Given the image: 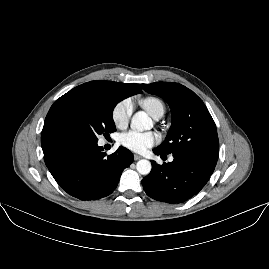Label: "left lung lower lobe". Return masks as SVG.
I'll return each mask as SVG.
<instances>
[{"label":"left lung lower lobe","mask_w":269,"mask_h":269,"mask_svg":"<svg viewBox=\"0 0 269 269\" xmlns=\"http://www.w3.org/2000/svg\"><path fill=\"white\" fill-rule=\"evenodd\" d=\"M153 152L157 155L164 153L158 148ZM173 157L172 162L163 165L152 161V170L143 178L142 185L149 197L176 204L196 195L209 180L216 164L177 154Z\"/></svg>","instance_id":"obj_1"}]
</instances>
